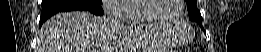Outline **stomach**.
I'll return each mask as SVG.
<instances>
[{
	"label": "stomach",
	"mask_w": 261,
	"mask_h": 52,
	"mask_svg": "<svg viewBox=\"0 0 261 52\" xmlns=\"http://www.w3.org/2000/svg\"><path fill=\"white\" fill-rule=\"evenodd\" d=\"M147 29L149 30H159L156 27H151V26H146ZM160 40V39H159ZM158 39H153L152 37H150V42L151 44L149 45V49L152 50L153 52H168L167 48L163 47V45H161V40L159 41Z\"/></svg>",
	"instance_id": "0dacf381"
}]
</instances>
